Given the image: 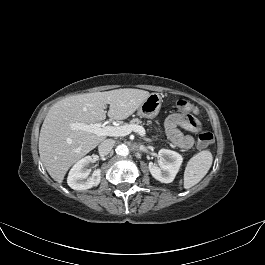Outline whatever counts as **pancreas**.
Returning a JSON list of instances; mask_svg holds the SVG:
<instances>
[{"label":"pancreas","mask_w":265,"mask_h":265,"mask_svg":"<svg viewBox=\"0 0 265 265\" xmlns=\"http://www.w3.org/2000/svg\"><path fill=\"white\" fill-rule=\"evenodd\" d=\"M141 123H142L141 120H139V119H137V118L132 119V120L130 121V125H139V124H141Z\"/></svg>","instance_id":"1"}]
</instances>
